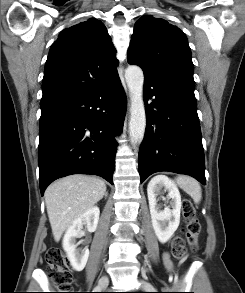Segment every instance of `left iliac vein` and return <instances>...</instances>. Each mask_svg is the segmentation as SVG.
<instances>
[{
	"label": "left iliac vein",
	"instance_id": "4c4485c4",
	"mask_svg": "<svg viewBox=\"0 0 245 293\" xmlns=\"http://www.w3.org/2000/svg\"><path fill=\"white\" fill-rule=\"evenodd\" d=\"M141 286L144 290H148V289H152L153 288V285L149 282H146V281H142L141 282Z\"/></svg>",
	"mask_w": 245,
	"mask_h": 293
}]
</instances>
